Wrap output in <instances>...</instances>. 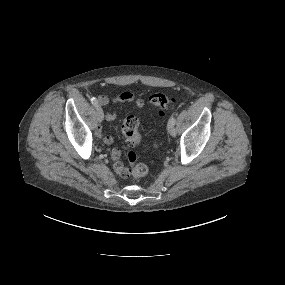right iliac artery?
I'll use <instances>...</instances> for the list:
<instances>
[{
	"label": "right iliac artery",
	"mask_w": 285,
	"mask_h": 285,
	"mask_svg": "<svg viewBox=\"0 0 285 285\" xmlns=\"http://www.w3.org/2000/svg\"><path fill=\"white\" fill-rule=\"evenodd\" d=\"M91 102L95 107L98 106V100L95 97L91 98Z\"/></svg>",
	"instance_id": "right-iliac-artery-1"
}]
</instances>
